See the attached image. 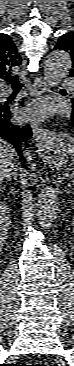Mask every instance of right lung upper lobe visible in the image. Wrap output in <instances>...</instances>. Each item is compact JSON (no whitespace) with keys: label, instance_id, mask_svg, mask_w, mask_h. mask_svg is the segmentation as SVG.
Returning <instances> with one entry per match:
<instances>
[{"label":"right lung upper lobe","instance_id":"cb5924a9","mask_svg":"<svg viewBox=\"0 0 74 366\" xmlns=\"http://www.w3.org/2000/svg\"><path fill=\"white\" fill-rule=\"evenodd\" d=\"M22 58L11 38L0 33V80L9 76L14 66H19Z\"/></svg>","mask_w":74,"mask_h":366}]
</instances>
